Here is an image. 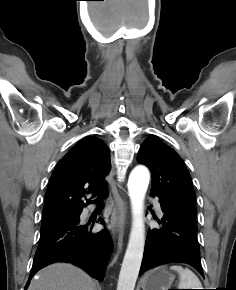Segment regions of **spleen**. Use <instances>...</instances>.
<instances>
[{
    "label": "spleen",
    "instance_id": "obj_1",
    "mask_svg": "<svg viewBox=\"0 0 236 290\" xmlns=\"http://www.w3.org/2000/svg\"><path fill=\"white\" fill-rule=\"evenodd\" d=\"M171 270L177 271L180 277L178 289H202L199 278L188 268L180 265H172Z\"/></svg>",
    "mask_w": 236,
    "mask_h": 290
}]
</instances>
